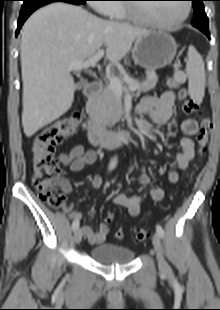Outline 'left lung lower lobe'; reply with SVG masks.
Segmentation results:
<instances>
[{
  "label": "left lung lower lobe",
  "mask_w": 220,
  "mask_h": 310,
  "mask_svg": "<svg viewBox=\"0 0 220 310\" xmlns=\"http://www.w3.org/2000/svg\"><path fill=\"white\" fill-rule=\"evenodd\" d=\"M204 34H206V36L208 37V38H210V35H209V30L208 31H202Z\"/></svg>",
  "instance_id": "obj_1"
}]
</instances>
